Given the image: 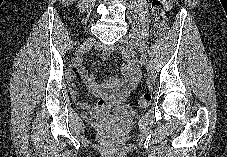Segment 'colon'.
Returning <instances> with one entry per match:
<instances>
[{"label": "colon", "instance_id": "colon-1", "mask_svg": "<svg viewBox=\"0 0 227 157\" xmlns=\"http://www.w3.org/2000/svg\"><path fill=\"white\" fill-rule=\"evenodd\" d=\"M151 15L153 24L157 33L162 34L167 28V20L163 10L162 0H153L151 3ZM151 97L149 94L139 96L136 103L141 108H146L150 104Z\"/></svg>", "mask_w": 227, "mask_h": 157}]
</instances>
